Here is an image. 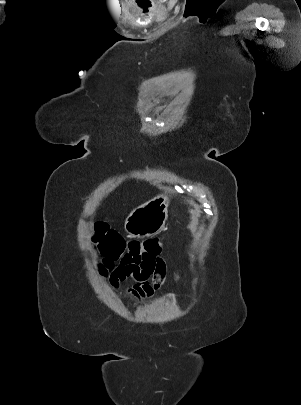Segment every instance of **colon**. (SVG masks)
<instances>
[{"mask_svg":"<svg viewBox=\"0 0 301 405\" xmlns=\"http://www.w3.org/2000/svg\"><path fill=\"white\" fill-rule=\"evenodd\" d=\"M166 228V227H165ZM92 241L103 256V263L111 266L120 259L130 257L154 256L161 252L162 244L159 237L167 234L166 230L151 235L142 242L125 241L115 230L104 222H95L91 227Z\"/></svg>","mask_w":301,"mask_h":405,"instance_id":"1","label":"colon"}]
</instances>
